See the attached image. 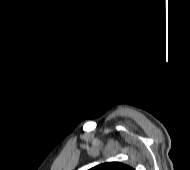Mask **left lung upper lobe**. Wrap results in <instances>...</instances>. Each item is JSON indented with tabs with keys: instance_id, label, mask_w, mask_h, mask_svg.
Instances as JSON below:
<instances>
[{
	"instance_id": "5c2ea615",
	"label": "left lung upper lobe",
	"mask_w": 190,
	"mask_h": 170,
	"mask_svg": "<svg viewBox=\"0 0 190 170\" xmlns=\"http://www.w3.org/2000/svg\"><path fill=\"white\" fill-rule=\"evenodd\" d=\"M89 170H134V169L120 162H106L103 164H99Z\"/></svg>"
}]
</instances>
